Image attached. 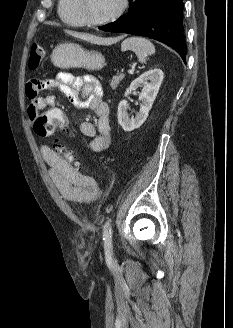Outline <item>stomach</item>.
I'll use <instances>...</instances> for the list:
<instances>
[{
  "label": "stomach",
  "instance_id": "0dacf381",
  "mask_svg": "<svg viewBox=\"0 0 233 328\" xmlns=\"http://www.w3.org/2000/svg\"><path fill=\"white\" fill-rule=\"evenodd\" d=\"M51 61L54 66L62 69L100 70L105 65V59L101 53L88 51L75 43L57 45L52 52Z\"/></svg>",
  "mask_w": 233,
  "mask_h": 328
}]
</instances>
